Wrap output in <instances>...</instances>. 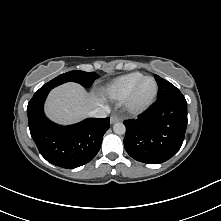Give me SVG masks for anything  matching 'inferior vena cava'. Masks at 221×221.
<instances>
[{"instance_id":"1","label":"inferior vena cava","mask_w":221,"mask_h":221,"mask_svg":"<svg viewBox=\"0 0 221 221\" xmlns=\"http://www.w3.org/2000/svg\"><path fill=\"white\" fill-rule=\"evenodd\" d=\"M110 113V108L105 105H99L95 109H93L89 115L95 118H106Z\"/></svg>"}]
</instances>
